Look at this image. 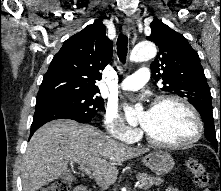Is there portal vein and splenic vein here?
<instances>
[{"instance_id": "obj_1", "label": "portal vein and splenic vein", "mask_w": 221, "mask_h": 191, "mask_svg": "<svg viewBox=\"0 0 221 191\" xmlns=\"http://www.w3.org/2000/svg\"><path fill=\"white\" fill-rule=\"evenodd\" d=\"M71 164H72V163H71ZM84 171H85L87 174H89V175L91 174L89 168H84ZM135 187L142 188L143 186H142V184L137 183V184L135 185Z\"/></svg>"}]
</instances>
